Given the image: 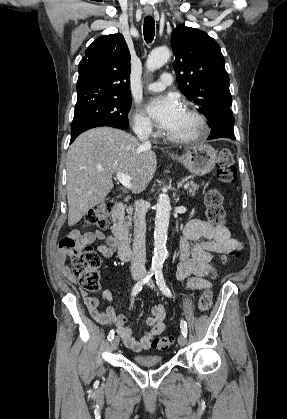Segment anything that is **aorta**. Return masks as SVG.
Returning <instances> with one entry per match:
<instances>
[{
    "mask_svg": "<svg viewBox=\"0 0 287 419\" xmlns=\"http://www.w3.org/2000/svg\"><path fill=\"white\" fill-rule=\"evenodd\" d=\"M170 57L168 48L159 47L151 51L146 61L148 71H155L162 67ZM170 199L165 193H161L156 204L155 229H154V255L152 258V271H159L168 256L166 249L167 232L170 219Z\"/></svg>",
    "mask_w": 287,
    "mask_h": 419,
    "instance_id": "aorta-1",
    "label": "aorta"
}]
</instances>
